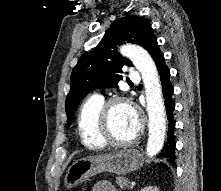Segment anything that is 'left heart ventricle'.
Instances as JSON below:
<instances>
[{
    "label": "left heart ventricle",
    "instance_id": "obj_1",
    "mask_svg": "<svg viewBox=\"0 0 221 191\" xmlns=\"http://www.w3.org/2000/svg\"><path fill=\"white\" fill-rule=\"evenodd\" d=\"M138 122L132 116V109L127 106L116 107L111 116L113 136L118 140H128L136 132Z\"/></svg>",
    "mask_w": 221,
    "mask_h": 191
}]
</instances>
